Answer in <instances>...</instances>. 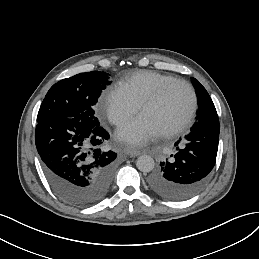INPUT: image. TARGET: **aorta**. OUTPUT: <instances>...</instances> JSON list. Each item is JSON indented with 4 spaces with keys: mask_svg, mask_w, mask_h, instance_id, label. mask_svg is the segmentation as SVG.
Instances as JSON below:
<instances>
[{
    "mask_svg": "<svg viewBox=\"0 0 259 259\" xmlns=\"http://www.w3.org/2000/svg\"><path fill=\"white\" fill-rule=\"evenodd\" d=\"M136 166L141 172H151L154 168V159L149 155H141L136 160Z\"/></svg>",
    "mask_w": 259,
    "mask_h": 259,
    "instance_id": "762f6f07",
    "label": "aorta"
}]
</instances>
